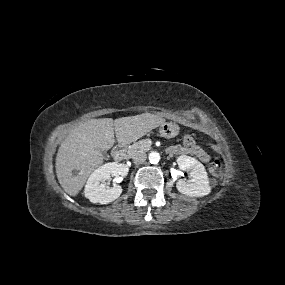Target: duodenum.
I'll list each match as a JSON object with an SVG mask.
<instances>
[{"mask_svg": "<svg viewBox=\"0 0 285 285\" xmlns=\"http://www.w3.org/2000/svg\"><path fill=\"white\" fill-rule=\"evenodd\" d=\"M112 156L114 158L115 161H122L125 156H126V147L124 144H118L113 152H112Z\"/></svg>", "mask_w": 285, "mask_h": 285, "instance_id": "1", "label": "duodenum"}]
</instances>
